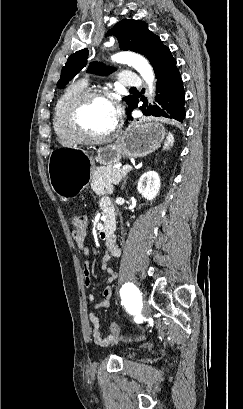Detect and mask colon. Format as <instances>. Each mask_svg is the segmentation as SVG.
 Listing matches in <instances>:
<instances>
[{"instance_id": "colon-1", "label": "colon", "mask_w": 243, "mask_h": 409, "mask_svg": "<svg viewBox=\"0 0 243 409\" xmlns=\"http://www.w3.org/2000/svg\"><path fill=\"white\" fill-rule=\"evenodd\" d=\"M72 224L74 226L73 238L77 242L78 246L81 247L85 238V231L87 226V218L83 215H77L73 217ZM111 334L116 337L118 340L124 342H134L139 341L144 338V335L138 337H128L122 334L119 326L116 323H111L110 326Z\"/></svg>"}]
</instances>
